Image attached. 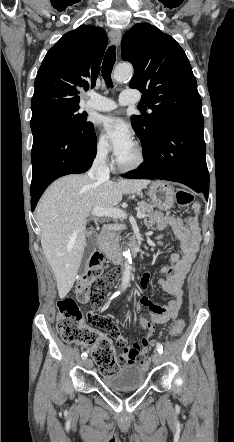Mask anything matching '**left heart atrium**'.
I'll list each match as a JSON object with an SVG mask.
<instances>
[{
  "label": "left heart atrium",
  "mask_w": 234,
  "mask_h": 442,
  "mask_svg": "<svg viewBox=\"0 0 234 442\" xmlns=\"http://www.w3.org/2000/svg\"><path fill=\"white\" fill-rule=\"evenodd\" d=\"M103 130L111 140L114 153L118 159L135 146L132 130L122 118L106 117L103 120Z\"/></svg>",
  "instance_id": "1"
}]
</instances>
